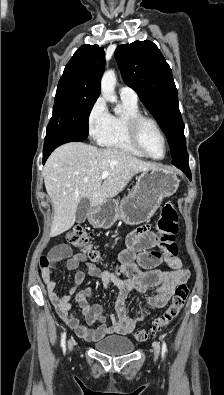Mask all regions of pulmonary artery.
<instances>
[{"label":"pulmonary artery","mask_w":224,"mask_h":395,"mask_svg":"<svg viewBox=\"0 0 224 395\" xmlns=\"http://www.w3.org/2000/svg\"><path fill=\"white\" fill-rule=\"evenodd\" d=\"M119 95L121 99L128 100L134 103H137L138 101V95L137 93L130 87L128 86H122L119 89Z\"/></svg>","instance_id":"e3ab8cb5"}]
</instances>
